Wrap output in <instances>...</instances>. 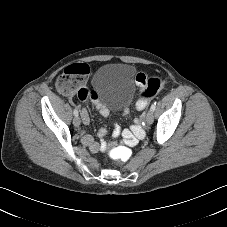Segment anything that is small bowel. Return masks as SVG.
Returning a JSON list of instances; mask_svg holds the SVG:
<instances>
[{"label": "small bowel", "mask_w": 227, "mask_h": 227, "mask_svg": "<svg viewBox=\"0 0 227 227\" xmlns=\"http://www.w3.org/2000/svg\"><path fill=\"white\" fill-rule=\"evenodd\" d=\"M76 71H77L78 74H80L83 77H87L90 73V69L86 64H78L76 66ZM85 91H86V94L88 96L89 95L88 90L85 89ZM66 95L70 96V94H67V93H66ZM97 109H98V111H99V113L102 117L108 116L109 112H108V109L105 106L97 104ZM81 119H82V122H83L84 125L89 123L90 114L86 109L81 110ZM120 133H121V131H120L119 127H116L113 131V135L115 137L119 136ZM106 135H107V130L106 129H100L99 132H98V137L100 139L99 141H96L92 136L86 135V134H83L82 140L91 152H99V151H102L104 149V144L102 142V139ZM128 135H131V134H129L128 132L124 133L125 137L128 136Z\"/></svg>", "instance_id": "small-bowel-1"}]
</instances>
